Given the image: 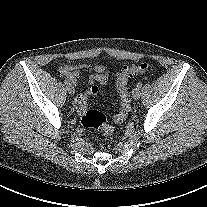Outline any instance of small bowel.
<instances>
[{"instance_id": "1", "label": "small bowel", "mask_w": 207, "mask_h": 207, "mask_svg": "<svg viewBox=\"0 0 207 207\" xmlns=\"http://www.w3.org/2000/svg\"><path fill=\"white\" fill-rule=\"evenodd\" d=\"M60 74L66 76L73 85H77L82 71L90 72L87 79L88 84L99 83L106 85L109 79L108 69L103 65H92L81 63L76 65H63L60 67Z\"/></svg>"}]
</instances>
